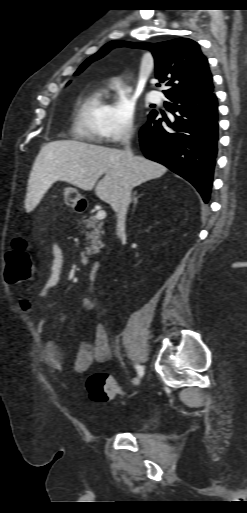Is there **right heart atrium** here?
Instances as JSON below:
<instances>
[{
  "mask_svg": "<svg viewBox=\"0 0 247 513\" xmlns=\"http://www.w3.org/2000/svg\"><path fill=\"white\" fill-rule=\"evenodd\" d=\"M114 90L113 102L108 105L103 122L102 140L108 144L127 140L135 126L136 102L130 90L119 82Z\"/></svg>",
  "mask_w": 247,
  "mask_h": 513,
  "instance_id": "obj_1",
  "label": "right heart atrium"
}]
</instances>
